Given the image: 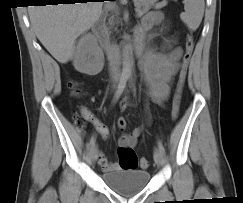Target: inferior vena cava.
Listing matches in <instances>:
<instances>
[{
	"instance_id": "1",
	"label": "inferior vena cava",
	"mask_w": 243,
	"mask_h": 203,
	"mask_svg": "<svg viewBox=\"0 0 243 203\" xmlns=\"http://www.w3.org/2000/svg\"><path fill=\"white\" fill-rule=\"evenodd\" d=\"M118 50L115 47L110 49L109 58H110V71L114 75H118L120 72V65L118 61Z\"/></svg>"
}]
</instances>
